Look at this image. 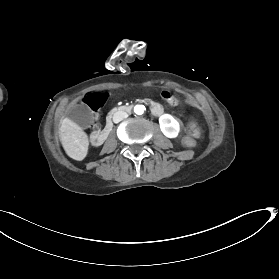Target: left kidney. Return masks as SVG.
Wrapping results in <instances>:
<instances>
[{"label": "left kidney", "mask_w": 279, "mask_h": 279, "mask_svg": "<svg viewBox=\"0 0 279 279\" xmlns=\"http://www.w3.org/2000/svg\"><path fill=\"white\" fill-rule=\"evenodd\" d=\"M160 130L167 138H177L180 133V122L170 114H163L159 117Z\"/></svg>", "instance_id": "obj_1"}]
</instances>
